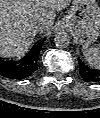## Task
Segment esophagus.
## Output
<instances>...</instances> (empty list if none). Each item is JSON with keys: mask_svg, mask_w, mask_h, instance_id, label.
Returning a JSON list of instances; mask_svg holds the SVG:
<instances>
[{"mask_svg": "<svg viewBox=\"0 0 100 118\" xmlns=\"http://www.w3.org/2000/svg\"><path fill=\"white\" fill-rule=\"evenodd\" d=\"M66 28V24L63 22L61 23V25L59 26L60 30H64Z\"/></svg>", "mask_w": 100, "mask_h": 118, "instance_id": "34e87169", "label": "esophagus"}]
</instances>
